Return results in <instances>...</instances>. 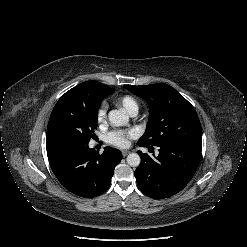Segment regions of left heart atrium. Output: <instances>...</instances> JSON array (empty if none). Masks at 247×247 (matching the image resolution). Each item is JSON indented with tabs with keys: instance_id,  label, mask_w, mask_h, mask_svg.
Wrapping results in <instances>:
<instances>
[{
	"instance_id": "1",
	"label": "left heart atrium",
	"mask_w": 247,
	"mask_h": 247,
	"mask_svg": "<svg viewBox=\"0 0 247 247\" xmlns=\"http://www.w3.org/2000/svg\"><path fill=\"white\" fill-rule=\"evenodd\" d=\"M135 133L131 130H115L107 135V140L116 146L126 147L129 144V140L134 137Z\"/></svg>"
}]
</instances>
